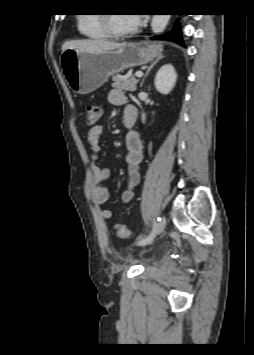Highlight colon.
<instances>
[{"mask_svg": "<svg viewBox=\"0 0 254 355\" xmlns=\"http://www.w3.org/2000/svg\"><path fill=\"white\" fill-rule=\"evenodd\" d=\"M101 107L98 105H89L86 109V122L88 125H94L101 117ZM115 233L119 238H128L131 235L130 229L125 224H116Z\"/></svg>", "mask_w": 254, "mask_h": 355, "instance_id": "1", "label": "colon"}]
</instances>
